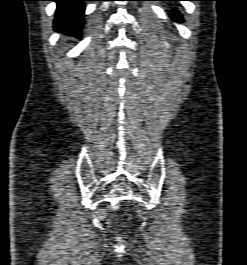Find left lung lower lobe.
<instances>
[{
	"label": "left lung lower lobe",
	"instance_id": "left-lung-lower-lobe-1",
	"mask_svg": "<svg viewBox=\"0 0 247 265\" xmlns=\"http://www.w3.org/2000/svg\"><path fill=\"white\" fill-rule=\"evenodd\" d=\"M158 1H185V0H158ZM191 1V0H189ZM181 15L179 13H177V19L181 20Z\"/></svg>",
	"mask_w": 247,
	"mask_h": 265
}]
</instances>
